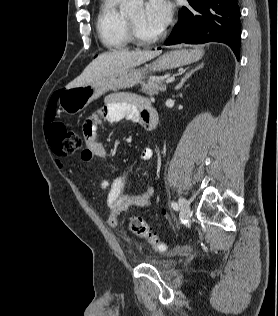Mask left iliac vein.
Wrapping results in <instances>:
<instances>
[{
  "label": "left iliac vein",
  "instance_id": "1",
  "mask_svg": "<svg viewBox=\"0 0 278 316\" xmlns=\"http://www.w3.org/2000/svg\"><path fill=\"white\" fill-rule=\"evenodd\" d=\"M180 218L181 220H188L190 216L189 202L181 197L179 198Z\"/></svg>",
  "mask_w": 278,
  "mask_h": 316
}]
</instances>
